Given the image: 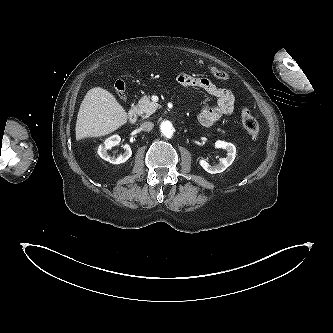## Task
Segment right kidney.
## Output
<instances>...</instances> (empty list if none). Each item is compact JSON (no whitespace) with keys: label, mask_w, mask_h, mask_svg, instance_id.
I'll use <instances>...</instances> for the list:
<instances>
[{"label":"right kidney","mask_w":333,"mask_h":333,"mask_svg":"<svg viewBox=\"0 0 333 333\" xmlns=\"http://www.w3.org/2000/svg\"><path fill=\"white\" fill-rule=\"evenodd\" d=\"M121 142V138L119 135H112L109 138H107L104 142V144L100 145L98 148V154L99 156L112 163V164H121L126 162L132 155V150L130 145L125 144L123 146L124 148V153L122 155H120L117 158L111 157L108 153V150L111 149L112 147L118 145Z\"/></svg>","instance_id":"1"}]
</instances>
